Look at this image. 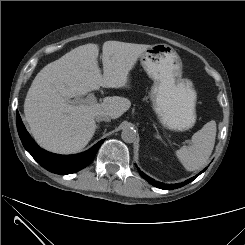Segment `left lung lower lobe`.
I'll use <instances>...</instances> for the list:
<instances>
[{"mask_svg":"<svg viewBox=\"0 0 245 245\" xmlns=\"http://www.w3.org/2000/svg\"><path fill=\"white\" fill-rule=\"evenodd\" d=\"M206 170V168L201 171L198 175H200L201 173H203ZM140 175L146 180L148 181L151 185L158 187L160 189H165V190H171V189H177L180 188L188 183H190L191 181H193L198 175H196L195 177L190 178L189 180H186L183 183L180 184H164V183H160L158 181L153 180L152 178L148 177L147 175H145L143 172L139 171Z\"/></svg>","mask_w":245,"mask_h":245,"instance_id":"1","label":"left lung lower lobe"}]
</instances>
